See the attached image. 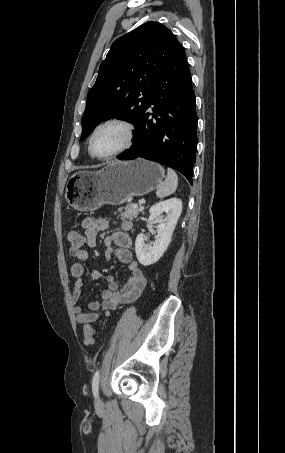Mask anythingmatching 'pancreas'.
I'll use <instances>...</instances> for the list:
<instances>
[{
  "mask_svg": "<svg viewBox=\"0 0 285 453\" xmlns=\"http://www.w3.org/2000/svg\"><path fill=\"white\" fill-rule=\"evenodd\" d=\"M118 216L122 219H128L130 221H133L135 218H137L139 214V209L138 208H133V204H128L124 208H119L118 209ZM115 212V213H117Z\"/></svg>",
  "mask_w": 285,
  "mask_h": 453,
  "instance_id": "pancreas-1",
  "label": "pancreas"
}]
</instances>
